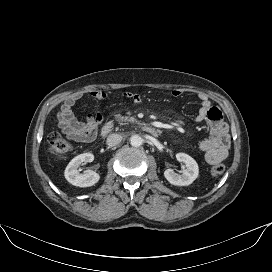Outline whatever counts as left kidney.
Returning <instances> with one entry per match:
<instances>
[{
	"label": "left kidney",
	"mask_w": 272,
	"mask_h": 272,
	"mask_svg": "<svg viewBox=\"0 0 272 272\" xmlns=\"http://www.w3.org/2000/svg\"><path fill=\"white\" fill-rule=\"evenodd\" d=\"M176 158L179 162L185 164L186 169L182 171V174H177L172 169H167L164 171V176L172 185L188 186L199 175L198 164L191 156L185 153H177Z\"/></svg>",
	"instance_id": "left-kidney-1"
}]
</instances>
